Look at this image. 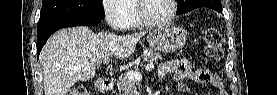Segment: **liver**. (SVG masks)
<instances>
[{"instance_id": "obj_1", "label": "liver", "mask_w": 277, "mask_h": 95, "mask_svg": "<svg viewBox=\"0 0 277 95\" xmlns=\"http://www.w3.org/2000/svg\"><path fill=\"white\" fill-rule=\"evenodd\" d=\"M145 34H95L84 26L56 32L44 45L39 57L45 95H66L77 81L92 79L96 66L105 58L115 56L125 60L133 54Z\"/></svg>"}]
</instances>
